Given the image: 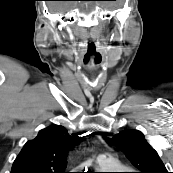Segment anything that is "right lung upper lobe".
<instances>
[{"instance_id": "cb5924a9", "label": "right lung upper lobe", "mask_w": 173, "mask_h": 173, "mask_svg": "<svg viewBox=\"0 0 173 173\" xmlns=\"http://www.w3.org/2000/svg\"><path fill=\"white\" fill-rule=\"evenodd\" d=\"M78 140V134L69 135L63 126L46 127L24 145L11 173H65L67 153Z\"/></svg>"}]
</instances>
